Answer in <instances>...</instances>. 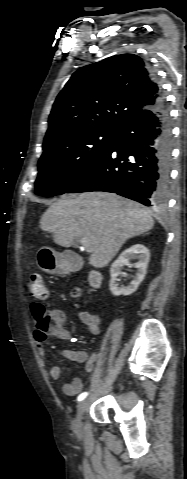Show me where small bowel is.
I'll return each instance as SVG.
<instances>
[{
	"label": "small bowel",
	"instance_id": "obj_1",
	"mask_svg": "<svg viewBox=\"0 0 187 479\" xmlns=\"http://www.w3.org/2000/svg\"><path fill=\"white\" fill-rule=\"evenodd\" d=\"M52 321L54 327L52 329V336L55 339L67 341L71 339V332L65 328L66 316L60 309L51 310ZM77 317L88 328L89 332L93 335H98L101 331L100 317L95 313H90L85 310H78ZM38 350L40 355L45 359L48 365V373L51 379L58 380L61 377V368L58 365H54L46 356L45 349L41 343L38 344ZM61 355L70 361L78 362L82 364L83 370L89 375H93L95 372V365L97 362V354L95 352H87L83 350H75L71 348H65L61 351ZM83 384L81 379L75 378L69 383H65L62 386V391L67 396H75L81 392Z\"/></svg>",
	"mask_w": 187,
	"mask_h": 479
}]
</instances>
